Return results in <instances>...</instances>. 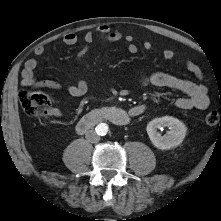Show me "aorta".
Wrapping results in <instances>:
<instances>
[{
  "label": "aorta",
  "mask_w": 221,
  "mask_h": 221,
  "mask_svg": "<svg viewBox=\"0 0 221 221\" xmlns=\"http://www.w3.org/2000/svg\"><path fill=\"white\" fill-rule=\"evenodd\" d=\"M108 129H109V127L106 123H100L96 127V132L98 135L104 136L107 134Z\"/></svg>",
  "instance_id": "1"
}]
</instances>
